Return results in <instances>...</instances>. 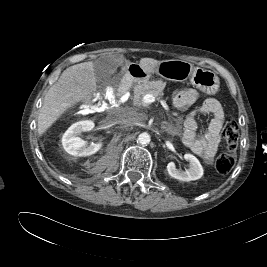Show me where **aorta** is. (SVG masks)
Segmentation results:
<instances>
[{
	"mask_svg": "<svg viewBox=\"0 0 267 267\" xmlns=\"http://www.w3.org/2000/svg\"><path fill=\"white\" fill-rule=\"evenodd\" d=\"M150 135L147 133V132H143L141 133L139 136H138V142L141 144V145H147L150 143Z\"/></svg>",
	"mask_w": 267,
	"mask_h": 267,
	"instance_id": "obj_1",
	"label": "aorta"
}]
</instances>
